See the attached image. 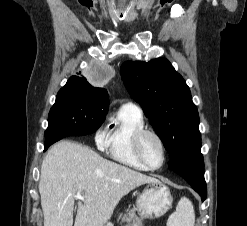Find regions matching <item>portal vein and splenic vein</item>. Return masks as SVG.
<instances>
[{"instance_id": "1", "label": "portal vein and splenic vein", "mask_w": 247, "mask_h": 226, "mask_svg": "<svg viewBox=\"0 0 247 226\" xmlns=\"http://www.w3.org/2000/svg\"><path fill=\"white\" fill-rule=\"evenodd\" d=\"M75 198L83 200V197L80 195V192H78V193L75 195Z\"/></svg>"}]
</instances>
